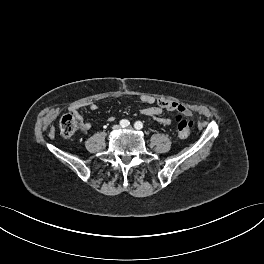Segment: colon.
Listing matches in <instances>:
<instances>
[{
    "mask_svg": "<svg viewBox=\"0 0 264 264\" xmlns=\"http://www.w3.org/2000/svg\"><path fill=\"white\" fill-rule=\"evenodd\" d=\"M175 121L177 124V132L180 138H187L194 125L193 120L185 118L182 112L179 110L175 115ZM59 128L62 136L71 137L79 129V120L77 114L74 111L66 112L60 119Z\"/></svg>",
    "mask_w": 264,
    "mask_h": 264,
    "instance_id": "1",
    "label": "colon"
}]
</instances>
